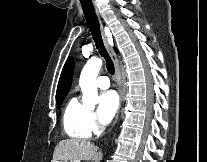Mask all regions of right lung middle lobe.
Segmentation results:
<instances>
[{"label":"right lung middle lobe","mask_w":207,"mask_h":162,"mask_svg":"<svg viewBox=\"0 0 207 162\" xmlns=\"http://www.w3.org/2000/svg\"><path fill=\"white\" fill-rule=\"evenodd\" d=\"M63 99H64V98H61V99H58V100H57V105H58L59 107L61 106V103H62Z\"/></svg>","instance_id":"right-lung-middle-lobe-1"}]
</instances>
